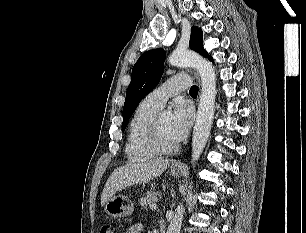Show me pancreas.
<instances>
[{
    "label": "pancreas",
    "instance_id": "obj_1",
    "mask_svg": "<svg viewBox=\"0 0 306 233\" xmlns=\"http://www.w3.org/2000/svg\"><path fill=\"white\" fill-rule=\"evenodd\" d=\"M159 195L160 194L158 192L148 193L139 199L138 205L142 208H146L148 204L155 203L158 200Z\"/></svg>",
    "mask_w": 306,
    "mask_h": 233
}]
</instances>
